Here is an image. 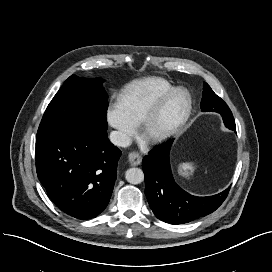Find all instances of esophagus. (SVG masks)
Here are the masks:
<instances>
[{
    "instance_id": "1",
    "label": "esophagus",
    "mask_w": 272,
    "mask_h": 272,
    "mask_svg": "<svg viewBox=\"0 0 272 272\" xmlns=\"http://www.w3.org/2000/svg\"><path fill=\"white\" fill-rule=\"evenodd\" d=\"M128 159H129V162L132 166H138V165H140V163L142 161V157L136 152L130 153L128 155Z\"/></svg>"
}]
</instances>
